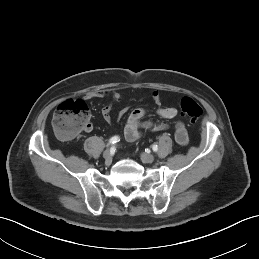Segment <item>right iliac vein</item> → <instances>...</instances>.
Returning a JSON list of instances; mask_svg holds the SVG:
<instances>
[{
  "label": "right iliac vein",
  "mask_w": 259,
  "mask_h": 259,
  "mask_svg": "<svg viewBox=\"0 0 259 259\" xmlns=\"http://www.w3.org/2000/svg\"><path fill=\"white\" fill-rule=\"evenodd\" d=\"M103 158L105 159V164L109 166L112 162L111 152L109 150L104 151Z\"/></svg>",
  "instance_id": "obj_1"
}]
</instances>
